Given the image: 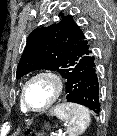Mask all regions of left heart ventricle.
<instances>
[{"label": "left heart ventricle", "instance_id": "b2bd125f", "mask_svg": "<svg viewBox=\"0 0 117 136\" xmlns=\"http://www.w3.org/2000/svg\"><path fill=\"white\" fill-rule=\"evenodd\" d=\"M54 89L52 83L40 78L33 81L27 88L26 99L29 107L32 109H41L51 99Z\"/></svg>", "mask_w": 117, "mask_h": 136}]
</instances>
